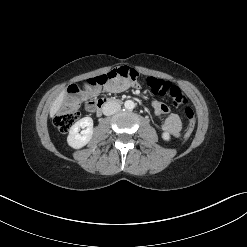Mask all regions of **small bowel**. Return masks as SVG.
I'll return each mask as SVG.
<instances>
[{
    "mask_svg": "<svg viewBox=\"0 0 247 247\" xmlns=\"http://www.w3.org/2000/svg\"><path fill=\"white\" fill-rule=\"evenodd\" d=\"M137 86V82L132 80L130 77H116L111 80L104 89L107 92L120 93ZM152 105L157 115H164L169 112L168 106L158 100H153ZM87 107L92 110L94 108L93 102L88 103ZM161 128L168 135L172 137H179L182 131L181 118L177 114H170L163 122Z\"/></svg>",
    "mask_w": 247,
    "mask_h": 247,
    "instance_id": "obj_1",
    "label": "small bowel"
}]
</instances>
